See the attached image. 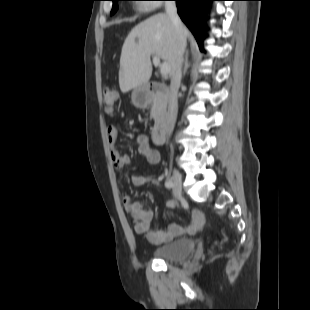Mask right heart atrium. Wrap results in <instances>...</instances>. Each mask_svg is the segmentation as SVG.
Wrapping results in <instances>:
<instances>
[{"label": "right heart atrium", "mask_w": 310, "mask_h": 310, "mask_svg": "<svg viewBox=\"0 0 310 310\" xmlns=\"http://www.w3.org/2000/svg\"><path fill=\"white\" fill-rule=\"evenodd\" d=\"M148 1H155V0H148ZM150 7H151V8H154V7H155V5H151Z\"/></svg>", "instance_id": "right-heart-atrium-1"}]
</instances>
